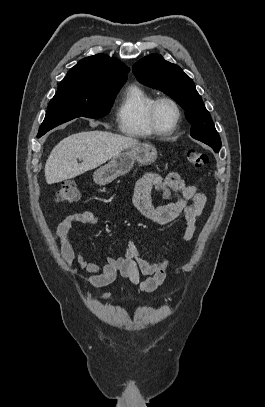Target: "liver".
Here are the masks:
<instances>
[{"label": "liver", "mask_w": 265, "mask_h": 407, "mask_svg": "<svg viewBox=\"0 0 265 407\" xmlns=\"http://www.w3.org/2000/svg\"><path fill=\"white\" fill-rule=\"evenodd\" d=\"M138 140L104 131H87L61 140L51 151L45 164L47 184L75 178L94 169L131 146ZM77 159L82 163H77Z\"/></svg>", "instance_id": "obj_1"}]
</instances>
